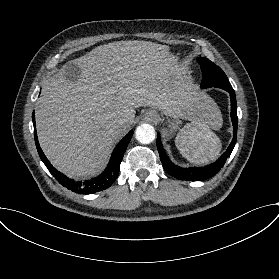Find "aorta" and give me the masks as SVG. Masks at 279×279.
Instances as JSON below:
<instances>
[{"instance_id": "762f6f07", "label": "aorta", "mask_w": 279, "mask_h": 279, "mask_svg": "<svg viewBox=\"0 0 279 279\" xmlns=\"http://www.w3.org/2000/svg\"><path fill=\"white\" fill-rule=\"evenodd\" d=\"M155 129L150 124H141L137 127L135 138L142 144H149L155 139Z\"/></svg>"}]
</instances>
